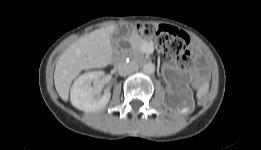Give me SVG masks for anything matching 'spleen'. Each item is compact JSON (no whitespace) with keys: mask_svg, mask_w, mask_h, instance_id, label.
<instances>
[{"mask_svg":"<svg viewBox=\"0 0 261 150\" xmlns=\"http://www.w3.org/2000/svg\"><path fill=\"white\" fill-rule=\"evenodd\" d=\"M207 90H208V85H207V84L203 85V86L198 90V92H197V97H198V98L202 97V96L207 92Z\"/></svg>","mask_w":261,"mask_h":150,"instance_id":"spleen-1","label":"spleen"}]
</instances>
